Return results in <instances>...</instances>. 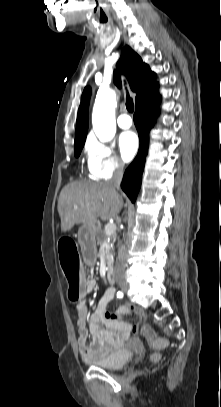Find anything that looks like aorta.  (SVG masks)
Here are the masks:
<instances>
[{"instance_id":"762f6f07","label":"aorta","mask_w":221,"mask_h":407,"mask_svg":"<svg viewBox=\"0 0 221 407\" xmlns=\"http://www.w3.org/2000/svg\"><path fill=\"white\" fill-rule=\"evenodd\" d=\"M116 94L113 90L98 92L92 112L93 130L101 142L113 139L116 133Z\"/></svg>"}]
</instances>
